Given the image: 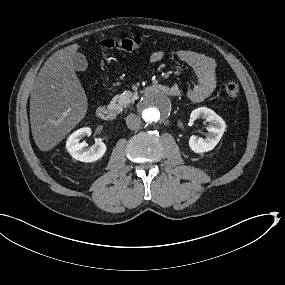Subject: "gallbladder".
<instances>
[{
	"mask_svg": "<svg viewBox=\"0 0 285 285\" xmlns=\"http://www.w3.org/2000/svg\"><path fill=\"white\" fill-rule=\"evenodd\" d=\"M73 67L77 71H84L86 70L88 63L85 56L81 53L76 52L73 57Z\"/></svg>",
	"mask_w": 285,
	"mask_h": 285,
	"instance_id": "obj_1",
	"label": "gallbladder"
}]
</instances>
